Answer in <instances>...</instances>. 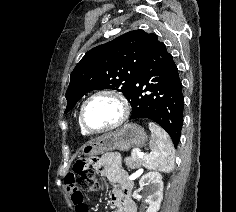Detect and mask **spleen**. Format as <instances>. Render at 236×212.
I'll list each match as a JSON object with an SVG mask.
<instances>
[{"mask_svg":"<svg viewBox=\"0 0 236 212\" xmlns=\"http://www.w3.org/2000/svg\"><path fill=\"white\" fill-rule=\"evenodd\" d=\"M151 152L144 156V166L149 170L170 173L174 169V146L167 134L159 125L149 122Z\"/></svg>","mask_w":236,"mask_h":212,"instance_id":"3e777b00","label":"spleen"}]
</instances>
